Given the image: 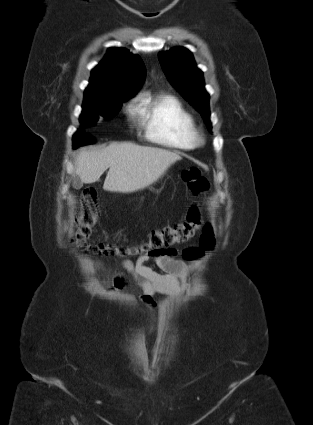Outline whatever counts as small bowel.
Instances as JSON below:
<instances>
[{"mask_svg": "<svg viewBox=\"0 0 313 425\" xmlns=\"http://www.w3.org/2000/svg\"><path fill=\"white\" fill-rule=\"evenodd\" d=\"M174 250L165 251L158 255H141L135 262L124 260L123 266L130 273L138 287L139 297L149 307L154 308L156 294H171L180 290L178 279L183 280V287L187 285L188 267L182 261L175 260ZM148 261H153L163 272H157L146 265ZM127 280L119 275L115 278L113 289H122L126 286Z\"/></svg>", "mask_w": 313, "mask_h": 425, "instance_id": "obj_1", "label": "small bowel"}]
</instances>
